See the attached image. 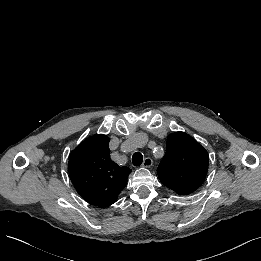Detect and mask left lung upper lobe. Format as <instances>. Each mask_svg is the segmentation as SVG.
<instances>
[{"label": "left lung upper lobe", "mask_w": 261, "mask_h": 261, "mask_svg": "<svg viewBox=\"0 0 261 261\" xmlns=\"http://www.w3.org/2000/svg\"><path fill=\"white\" fill-rule=\"evenodd\" d=\"M207 151L184 132L168 135L166 153L158 167V177L177 194L186 195L197 190L208 171Z\"/></svg>", "instance_id": "left-lung-upper-lobe-1"}]
</instances>
